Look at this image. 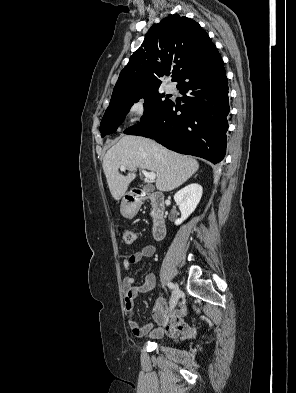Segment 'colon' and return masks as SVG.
Returning <instances> with one entry per match:
<instances>
[{"instance_id": "obj_1", "label": "colon", "mask_w": 296, "mask_h": 393, "mask_svg": "<svg viewBox=\"0 0 296 393\" xmlns=\"http://www.w3.org/2000/svg\"><path fill=\"white\" fill-rule=\"evenodd\" d=\"M117 233L125 244L132 245L134 243L135 234L133 231L129 229L120 228L117 230Z\"/></svg>"}]
</instances>
